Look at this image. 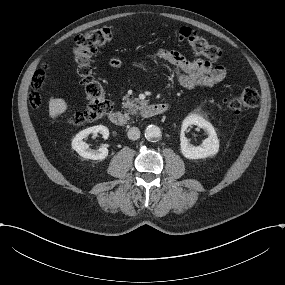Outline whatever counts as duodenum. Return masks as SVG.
Wrapping results in <instances>:
<instances>
[{"label":"duodenum","mask_w":285,"mask_h":285,"mask_svg":"<svg viewBox=\"0 0 285 285\" xmlns=\"http://www.w3.org/2000/svg\"><path fill=\"white\" fill-rule=\"evenodd\" d=\"M170 108H171L170 102L152 103L147 105L143 109L142 114L146 117L158 116L168 112ZM109 119L114 125L118 127H124L128 123L125 114L121 111H114V110L111 111L109 113Z\"/></svg>","instance_id":"410a0bca"}]
</instances>
